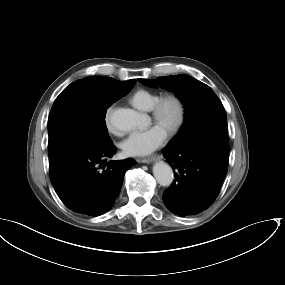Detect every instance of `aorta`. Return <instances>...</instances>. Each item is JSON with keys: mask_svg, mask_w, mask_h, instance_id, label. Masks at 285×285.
Instances as JSON below:
<instances>
[{"mask_svg": "<svg viewBox=\"0 0 285 285\" xmlns=\"http://www.w3.org/2000/svg\"><path fill=\"white\" fill-rule=\"evenodd\" d=\"M109 121L117 130L130 131L141 127L143 116L129 108H117L110 112ZM153 174L161 186H170L174 179L172 168L163 161L154 164Z\"/></svg>", "mask_w": 285, "mask_h": 285, "instance_id": "762f6f07", "label": "aorta"}]
</instances>
